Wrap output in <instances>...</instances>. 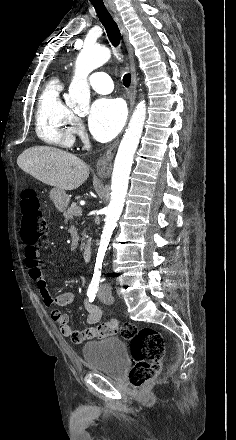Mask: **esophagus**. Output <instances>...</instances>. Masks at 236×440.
I'll use <instances>...</instances> for the list:
<instances>
[{
    "label": "esophagus",
    "mask_w": 236,
    "mask_h": 440,
    "mask_svg": "<svg viewBox=\"0 0 236 440\" xmlns=\"http://www.w3.org/2000/svg\"><path fill=\"white\" fill-rule=\"evenodd\" d=\"M106 7L108 8L109 12L111 13L112 17L114 18L115 22L117 23L120 32L124 38L127 51H128V57L130 62V70H131V86H130V92H129V99H130V106H129V114H131L132 109L135 104L136 99V92H137V77H136V68H135V62H134V54H133V47L129 41L128 37V31L116 9V6L110 2H106ZM118 145V141H116L112 147L106 152L104 156H102L98 162H97V173L101 177H108L112 170V159L114 157L116 148Z\"/></svg>",
    "instance_id": "1"
}]
</instances>
